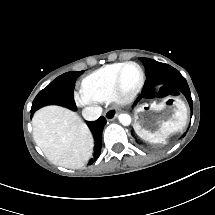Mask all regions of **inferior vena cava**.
I'll return each instance as SVG.
<instances>
[{
    "instance_id": "obj_1",
    "label": "inferior vena cava",
    "mask_w": 215,
    "mask_h": 215,
    "mask_svg": "<svg viewBox=\"0 0 215 215\" xmlns=\"http://www.w3.org/2000/svg\"><path fill=\"white\" fill-rule=\"evenodd\" d=\"M102 111L100 106L86 107L82 111V116L88 121H95L101 116Z\"/></svg>"
}]
</instances>
